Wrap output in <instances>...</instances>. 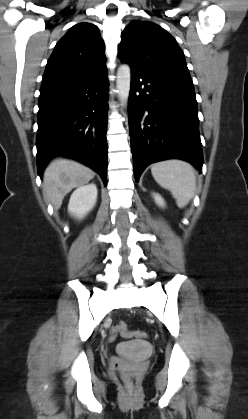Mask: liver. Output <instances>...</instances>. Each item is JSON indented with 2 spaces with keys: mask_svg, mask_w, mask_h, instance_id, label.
I'll return each mask as SVG.
<instances>
[{
  "mask_svg": "<svg viewBox=\"0 0 248 419\" xmlns=\"http://www.w3.org/2000/svg\"><path fill=\"white\" fill-rule=\"evenodd\" d=\"M94 171L74 160L56 158L43 175V193L46 201L60 208L66 194L94 178Z\"/></svg>",
  "mask_w": 248,
  "mask_h": 419,
  "instance_id": "liver-1",
  "label": "liver"
}]
</instances>
